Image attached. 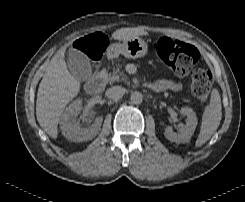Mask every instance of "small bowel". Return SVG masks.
Masks as SVG:
<instances>
[{"label": "small bowel", "mask_w": 245, "mask_h": 202, "mask_svg": "<svg viewBox=\"0 0 245 202\" xmlns=\"http://www.w3.org/2000/svg\"><path fill=\"white\" fill-rule=\"evenodd\" d=\"M181 86V83L169 79H160L152 84V87L157 91L179 90Z\"/></svg>", "instance_id": "1"}]
</instances>
